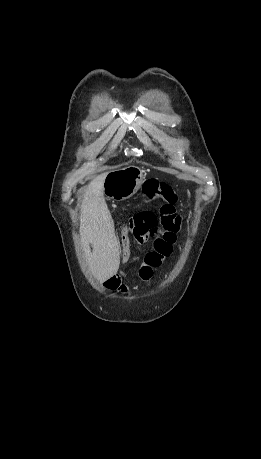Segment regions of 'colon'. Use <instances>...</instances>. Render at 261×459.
<instances>
[{
    "instance_id": "1",
    "label": "colon",
    "mask_w": 261,
    "mask_h": 459,
    "mask_svg": "<svg viewBox=\"0 0 261 459\" xmlns=\"http://www.w3.org/2000/svg\"><path fill=\"white\" fill-rule=\"evenodd\" d=\"M142 197L147 201L160 200V219L158 220L155 213L151 211H140L136 213L128 223H125L120 229L118 238L119 251L125 261L133 258L132 248L130 246L131 230L135 234H146L152 232L155 234H166L168 238H175L180 226V217L176 213L175 203L177 196L170 185L158 180H148L142 188Z\"/></svg>"
}]
</instances>
